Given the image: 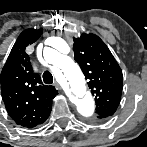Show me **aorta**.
I'll return each mask as SVG.
<instances>
[{
    "instance_id": "aorta-1",
    "label": "aorta",
    "mask_w": 147,
    "mask_h": 147,
    "mask_svg": "<svg viewBox=\"0 0 147 147\" xmlns=\"http://www.w3.org/2000/svg\"><path fill=\"white\" fill-rule=\"evenodd\" d=\"M44 57L48 63L57 65L62 70V79L67 86L68 92L74 99H83L86 93L84 76L78 65L68 56L58 51L46 48ZM93 108L92 102L81 100V112L84 115L90 113Z\"/></svg>"
}]
</instances>
